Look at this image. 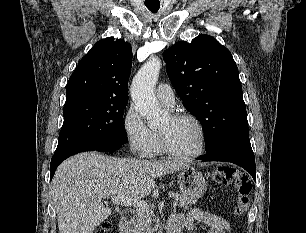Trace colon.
<instances>
[{"instance_id":"colon-1","label":"colon","mask_w":306,"mask_h":233,"mask_svg":"<svg viewBox=\"0 0 306 233\" xmlns=\"http://www.w3.org/2000/svg\"><path fill=\"white\" fill-rule=\"evenodd\" d=\"M212 177L219 185L235 186L238 196L233 214L236 217L245 215L249 207V193L252 187L248 176L236 168L220 166L212 173ZM111 227L109 221H104L94 233H110Z\"/></svg>"}]
</instances>
